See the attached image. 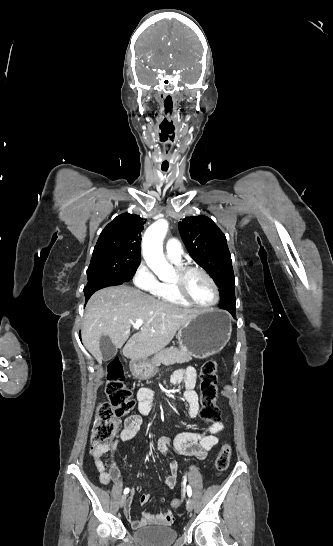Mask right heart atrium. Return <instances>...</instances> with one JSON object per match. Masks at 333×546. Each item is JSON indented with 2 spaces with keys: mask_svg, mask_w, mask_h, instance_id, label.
Listing matches in <instances>:
<instances>
[{
  "mask_svg": "<svg viewBox=\"0 0 333 546\" xmlns=\"http://www.w3.org/2000/svg\"><path fill=\"white\" fill-rule=\"evenodd\" d=\"M133 283L138 289L154 296H158L161 290V283L145 262H141L135 270Z\"/></svg>",
  "mask_w": 333,
  "mask_h": 546,
  "instance_id": "right-heart-atrium-1",
  "label": "right heart atrium"
}]
</instances>
